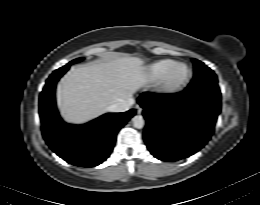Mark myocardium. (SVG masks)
I'll return each instance as SVG.
<instances>
[{
    "mask_svg": "<svg viewBox=\"0 0 260 205\" xmlns=\"http://www.w3.org/2000/svg\"><path fill=\"white\" fill-rule=\"evenodd\" d=\"M184 66L187 69V76L186 78L179 82V83H172L171 82V75L173 71L180 67ZM192 79V69L191 67L182 62H176L174 65H172L166 72L165 74L160 78V80L157 83V92L164 97H170L174 96L181 91H183L191 82Z\"/></svg>",
    "mask_w": 260,
    "mask_h": 205,
    "instance_id": "myocardium-1",
    "label": "myocardium"
}]
</instances>
